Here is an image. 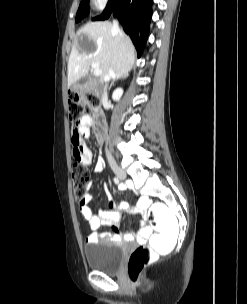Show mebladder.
<instances>
[{
	"label": "bladder",
	"instance_id": "bladder-1",
	"mask_svg": "<svg viewBox=\"0 0 247 304\" xmlns=\"http://www.w3.org/2000/svg\"><path fill=\"white\" fill-rule=\"evenodd\" d=\"M86 262L92 270L103 273H116L123 261L124 248L122 242L99 239L84 248Z\"/></svg>",
	"mask_w": 247,
	"mask_h": 304
}]
</instances>
